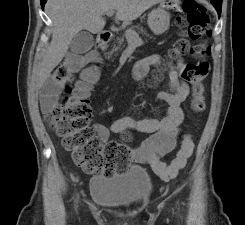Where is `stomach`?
I'll return each instance as SVG.
<instances>
[{
	"label": "stomach",
	"instance_id": "0dacf381",
	"mask_svg": "<svg viewBox=\"0 0 245 225\" xmlns=\"http://www.w3.org/2000/svg\"><path fill=\"white\" fill-rule=\"evenodd\" d=\"M170 18L166 5L161 4L149 13L147 24L155 35H161L169 29Z\"/></svg>",
	"mask_w": 245,
	"mask_h": 225
}]
</instances>
